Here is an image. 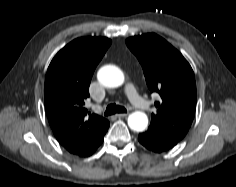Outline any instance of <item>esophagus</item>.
<instances>
[{"label": "esophagus", "mask_w": 236, "mask_h": 187, "mask_svg": "<svg viewBox=\"0 0 236 187\" xmlns=\"http://www.w3.org/2000/svg\"><path fill=\"white\" fill-rule=\"evenodd\" d=\"M117 118H124L128 116V113H119L115 115Z\"/></svg>", "instance_id": "esophagus-1"}]
</instances>
